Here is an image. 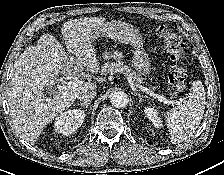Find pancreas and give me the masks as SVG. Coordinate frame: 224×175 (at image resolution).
Returning <instances> with one entry per match:
<instances>
[{
  "label": "pancreas",
  "mask_w": 224,
  "mask_h": 175,
  "mask_svg": "<svg viewBox=\"0 0 224 175\" xmlns=\"http://www.w3.org/2000/svg\"><path fill=\"white\" fill-rule=\"evenodd\" d=\"M106 55L115 57V54H111L108 52H106ZM102 73L103 74L121 73L125 75L128 79L133 80L134 82L142 83L143 81V78L140 76V74L130 69L129 67L124 65L122 62H118V63L111 62V63L105 64L102 68Z\"/></svg>",
  "instance_id": "obj_1"
}]
</instances>
